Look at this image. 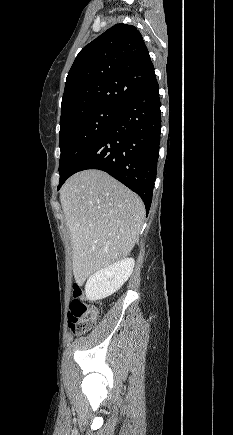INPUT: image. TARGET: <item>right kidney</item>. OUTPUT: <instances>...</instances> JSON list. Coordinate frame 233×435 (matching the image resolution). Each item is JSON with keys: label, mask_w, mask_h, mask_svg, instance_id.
<instances>
[{"label": "right kidney", "mask_w": 233, "mask_h": 435, "mask_svg": "<svg viewBox=\"0 0 233 435\" xmlns=\"http://www.w3.org/2000/svg\"><path fill=\"white\" fill-rule=\"evenodd\" d=\"M134 265L133 258H125L95 272L86 282V297L90 301H96L112 295L128 280Z\"/></svg>", "instance_id": "ca27d5eb"}]
</instances>
